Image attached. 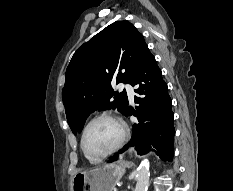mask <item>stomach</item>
<instances>
[{
  "instance_id": "0dacf381",
  "label": "stomach",
  "mask_w": 233,
  "mask_h": 191,
  "mask_svg": "<svg viewBox=\"0 0 233 191\" xmlns=\"http://www.w3.org/2000/svg\"><path fill=\"white\" fill-rule=\"evenodd\" d=\"M125 172L119 164H105L78 172L73 177L71 191H113Z\"/></svg>"
}]
</instances>
